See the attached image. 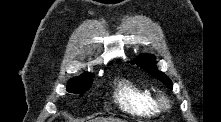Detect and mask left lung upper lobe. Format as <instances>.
<instances>
[{
	"instance_id": "left-lung-upper-lobe-1",
	"label": "left lung upper lobe",
	"mask_w": 221,
	"mask_h": 122,
	"mask_svg": "<svg viewBox=\"0 0 221 122\" xmlns=\"http://www.w3.org/2000/svg\"><path fill=\"white\" fill-rule=\"evenodd\" d=\"M134 63H136L139 67L162 81L168 88H172L171 80L163 72L157 70L153 55L144 54L140 56L136 61L131 62V64Z\"/></svg>"
}]
</instances>
